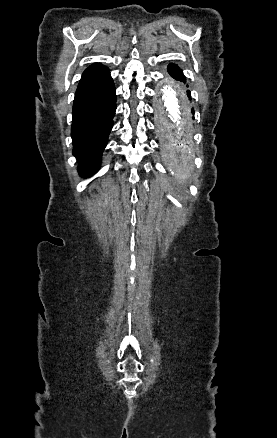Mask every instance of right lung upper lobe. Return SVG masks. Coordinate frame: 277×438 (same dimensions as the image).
<instances>
[{
	"label": "right lung upper lobe",
	"instance_id": "cb5924a9",
	"mask_svg": "<svg viewBox=\"0 0 277 438\" xmlns=\"http://www.w3.org/2000/svg\"><path fill=\"white\" fill-rule=\"evenodd\" d=\"M108 70L109 69L107 67H105V66H103L101 64H97V63L96 64H92L90 67H88L84 71L81 80L93 77V76L101 74V73H104V72H106Z\"/></svg>",
	"mask_w": 277,
	"mask_h": 438
}]
</instances>
